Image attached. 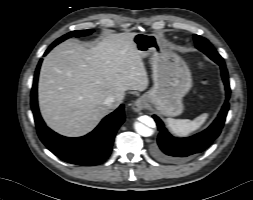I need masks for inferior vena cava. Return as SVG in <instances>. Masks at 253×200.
<instances>
[{"label":"inferior vena cava","mask_w":253,"mask_h":200,"mask_svg":"<svg viewBox=\"0 0 253 200\" xmlns=\"http://www.w3.org/2000/svg\"><path fill=\"white\" fill-rule=\"evenodd\" d=\"M116 99L114 96H108L105 100H104V104L108 107V108H113L115 105Z\"/></svg>","instance_id":"1"}]
</instances>
